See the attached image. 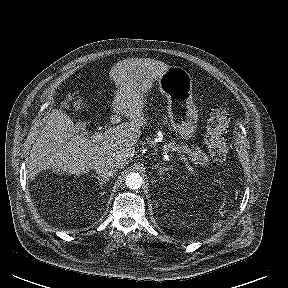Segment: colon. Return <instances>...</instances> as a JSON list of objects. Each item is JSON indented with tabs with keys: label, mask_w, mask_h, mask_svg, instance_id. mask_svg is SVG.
<instances>
[{
	"label": "colon",
	"mask_w": 288,
	"mask_h": 288,
	"mask_svg": "<svg viewBox=\"0 0 288 288\" xmlns=\"http://www.w3.org/2000/svg\"><path fill=\"white\" fill-rule=\"evenodd\" d=\"M229 121V109L225 103L210 109L206 121L205 143L211 158L217 163H223L227 159L228 145L225 135Z\"/></svg>",
	"instance_id": "colon-1"
}]
</instances>
